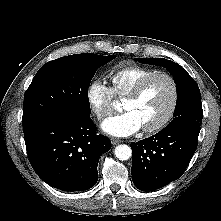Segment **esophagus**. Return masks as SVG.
I'll use <instances>...</instances> for the list:
<instances>
[{
  "instance_id": "34e87169",
  "label": "esophagus",
  "mask_w": 221,
  "mask_h": 221,
  "mask_svg": "<svg viewBox=\"0 0 221 221\" xmlns=\"http://www.w3.org/2000/svg\"><path fill=\"white\" fill-rule=\"evenodd\" d=\"M111 142L113 145H117V144H120L122 141L120 139L112 138Z\"/></svg>"
}]
</instances>
